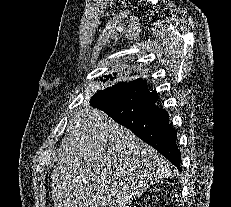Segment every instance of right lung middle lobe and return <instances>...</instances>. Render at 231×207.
I'll return each mask as SVG.
<instances>
[{
	"label": "right lung middle lobe",
	"instance_id": "dd1d6c3e",
	"mask_svg": "<svg viewBox=\"0 0 231 207\" xmlns=\"http://www.w3.org/2000/svg\"><path fill=\"white\" fill-rule=\"evenodd\" d=\"M125 82H120L112 87H109L103 91H99L97 94H99L100 99H104V98H109V97H119L122 94V88L121 86L124 84Z\"/></svg>",
	"mask_w": 231,
	"mask_h": 207
}]
</instances>
